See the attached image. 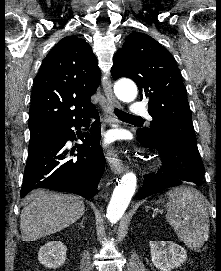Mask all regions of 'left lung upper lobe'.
I'll return each instance as SVG.
<instances>
[{"label": "left lung upper lobe", "instance_id": "5c2ea615", "mask_svg": "<svg viewBox=\"0 0 221 271\" xmlns=\"http://www.w3.org/2000/svg\"><path fill=\"white\" fill-rule=\"evenodd\" d=\"M111 74L114 80L131 78L139 88L141 100L149 99L148 112L153 120L150 128L138 130L150 134L162 129L197 146L181 73L162 45L147 34H129L113 58Z\"/></svg>", "mask_w": 221, "mask_h": 271}]
</instances>
